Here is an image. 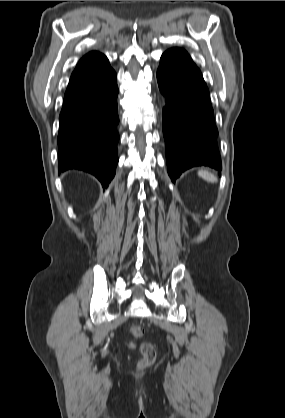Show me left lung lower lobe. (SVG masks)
<instances>
[{
	"instance_id": "0a47b994",
	"label": "left lung lower lobe",
	"mask_w": 285,
	"mask_h": 418,
	"mask_svg": "<svg viewBox=\"0 0 285 418\" xmlns=\"http://www.w3.org/2000/svg\"><path fill=\"white\" fill-rule=\"evenodd\" d=\"M157 81L166 96L162 122L171 180L174 182L193 166L205 165L221 170L218 130L209 90L190 55L182 48L164 52Z\"/></svg>"
}]
</instances>
